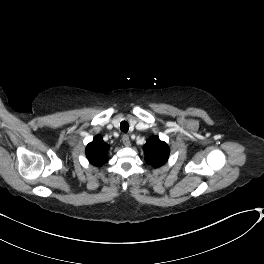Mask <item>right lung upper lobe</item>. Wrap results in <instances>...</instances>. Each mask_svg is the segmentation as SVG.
<instances>
[{
  "mask_svg": "<svg viewBox=\"0 0 264 264\" xmlns=\"http://www.w3.org/2000/svg\"><path fill=\"white\" fill-rule=\"evenodd\" d=\"M109 145L106 144L100 135H97L86 147V156L90 163L100 166L107 162V151Z\"/></svg>",
  "mask_w": 264,
  "mask_h": 264,
  "instance_id": "cb5924a9",
  "label": "right lung upper lobe"
}]
</instances>
